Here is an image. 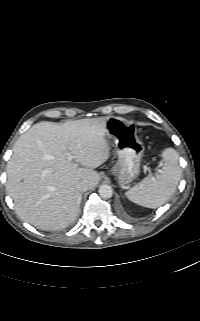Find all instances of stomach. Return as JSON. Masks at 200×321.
Listing matches in <instances>:
<instances>
[{
	"instance_id": "obj_1",
	"label": "stomach",
	"mask_w": 200,
	"mask_h": 321,
	"mask_svg": "<svg viewBox=\"0 0 200 321\" xmlns=\"http://www.w3.org/2000/svg\"><path fill=\"white\" fill-rule=\"evenodd\" d=\"M107 136L114 140L117 163L111 173L122 187L132 183L140 174V163L144 153L143 143L137 136L134 123L121 117H108L105 123Z\"/></svg>"
}]
</instances>
